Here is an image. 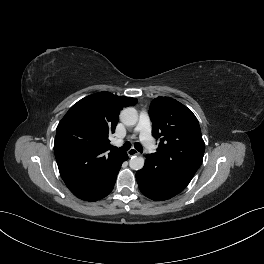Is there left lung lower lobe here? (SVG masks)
Here are the masks:
<instances>
[{
  "mask_svg": "<svg viewBox=\"0 0 264 264\" xmlns=\"http://www.w3.org/2000/svg\"><path fill=\"white\" fill-rule=\"evenodd\" d=\"M140 191L152 200H167L180 193L191 181L183 172L162 168L156 157L147 155L144 167L137 171Z\"/></svg>",
  "mask_w": 264,
  "mask_h": 264,
  "instance_id": "1",
  "label": "left lung lower lobe"
}]
</instances>
